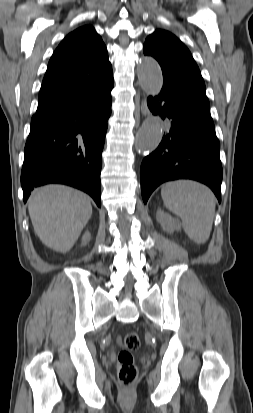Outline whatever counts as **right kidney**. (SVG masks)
<instances>
[{
	"label": "right kidney",
	"mask_w": 253,
	"mask_h": 413,
	"mask_svg": "<svg viewBox=\"0 0 253 413\" xmlns=\"http://www.w3.org/2000/svg\"><path fill=\"white\" fill-rule=\"evenodd\" d=\"M91 239V234L89 232H85L82 236V245H86Z\"/></svg>",
	"instance_id": "ca27d5eb"
}]
</instances>
